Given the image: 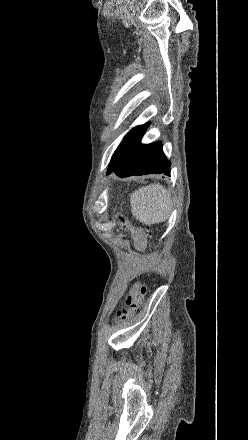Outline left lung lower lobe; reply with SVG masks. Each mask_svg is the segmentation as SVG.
Segmentation results:
<instances>
[{
    "label": "left lung lower lobe",
    "instance_id": "1",
    "mask_svg": "<svg viewBox=\"0 0 248 440\" xmlns=\"http://www.w3.org/2000/svg\"><path fill=\"white\" fill-rule=\"evenodd\" d=\"M170 161L162 151L161 142L137 144L113 170L121 178L133 175L165 174L170 176Z\"/></svg>",
    "mask_w": 248,
    "mask_h": 440
}]
</instances>
